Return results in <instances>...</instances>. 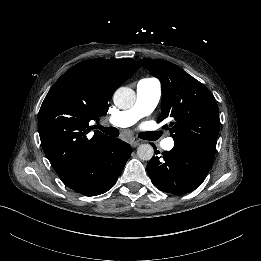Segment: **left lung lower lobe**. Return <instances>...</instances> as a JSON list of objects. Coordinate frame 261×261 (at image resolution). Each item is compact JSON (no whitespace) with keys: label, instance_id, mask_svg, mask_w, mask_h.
Returning <instances> with one entry per match:
<instances>
[{"label":"left lung lower lobe","instance_id":"0a47b994","mask_svg":"<svg viewBox=\"0 0 261 261\" xmlns=\"http://www.w3.org/2000/svg\"><path fill=\"white\" fill-rule=\"evenodd\" d=\"M215 151L216 148L201 142H174L172 150L150 160L147 172L161 191L183 195L204 181L212 167Z\"/></svg>","mask_w":261,"mask_h":261}]
</instances>
